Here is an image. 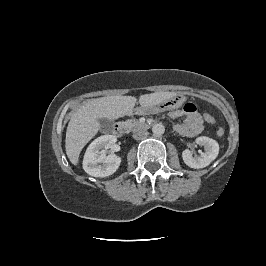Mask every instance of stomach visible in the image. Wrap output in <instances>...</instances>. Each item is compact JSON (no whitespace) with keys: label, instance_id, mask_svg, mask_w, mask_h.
I'll return each mask as SVG.
<instances>
[{"label":"stomach","instance_id":"stomach-1","mask_svg":"<svg viewBox=\"0 0 266 266\" xmlns=\"http://www.w3.org/2000/svg\"><path fill=\"white\" fill-rule=\"evenodd\" d=\"M173 101H176L177 103H180L183 101V97H172L170 99H167L164 102H161L159 104L153 105V106H149V107H141V111L143 113L149 114V113H161L164 112L166 110H169L171 108L172 105H170V103H173Z\"/></svg>","mask_w":266,"mask_h":266}]
</instances>
